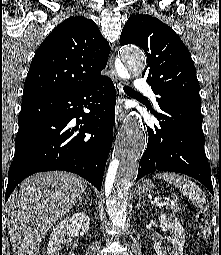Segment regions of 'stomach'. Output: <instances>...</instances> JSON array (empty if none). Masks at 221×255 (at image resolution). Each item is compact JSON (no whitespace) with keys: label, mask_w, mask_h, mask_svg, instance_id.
<instances>
[{"label":"stomach","mask_w":221,"mask_h":255,"mask_svg":"<svg viewBox=\"0 0 221 255\" xmlns=\"http://www.w3.org/2000/svg\"><path fill=\"white\" fill-rule=\"evenodd\" d=\"M154 188V184L151 181H144L142 184L138 186V193H147L152 191Z\"/></svg>","instance_id":"1"}]
</instances>
